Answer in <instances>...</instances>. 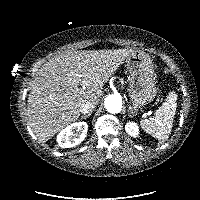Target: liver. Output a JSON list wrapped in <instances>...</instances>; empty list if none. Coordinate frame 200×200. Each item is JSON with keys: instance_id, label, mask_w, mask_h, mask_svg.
<instances>
[{"instance_id": "6515ba94", "label": "liver", "mask_w": 200, "mask_h": 200, "mask_svg": "<svg viewBox=\"0 0 200 200\" xmlns=\"http://www.w3.org/2000/svg\"><path fill=\"white\" fill-rule=\"evenodd\" d=\"M133 49L69 50L37 72L27 100L29 125L41 143L80 116L83 102L100 101L104 84ZM80 86V88H79Z\"/></svg>"}]
</instances>
